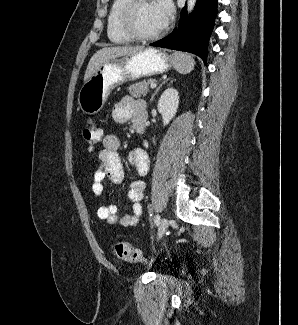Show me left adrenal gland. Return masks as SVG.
Returning <instances> with one entry per match:
<instances>
[{
    "mask_svg": "<svg viewBox=\"0 0 298 325\" xmlns=\"http://www.w3.org/2000/svg\"><path fill=\"white\" fill-rule=\"evenodd\" d=\"M167 80H170V78H165V80H163V82H161V84H159V86H157L156 90H154V92L150 98V102H152V100H154L155 94H157V92H159L161 86H163V84H165V82H167ZM170 82H171V80H170Z\"/></svg>",
    "mask_w": 298,
    "mask_h": 325,
    "instance_id": "obj_1",
    "label": "left adrenal gland"
}]
</instances>
